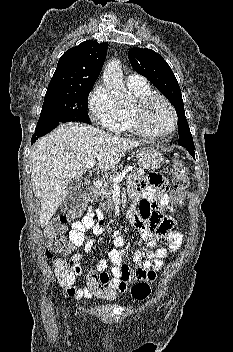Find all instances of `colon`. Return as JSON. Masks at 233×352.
I'll list each match as a JSON object with an SVG mask.
<instances>
[{
  "instance_id": "1",
  "label": "colon",
  "mask_w": 233,
  "mask_h": 352,
  "mask_svg": "<svg viewBox=\"0 0 233 352\" xmlns=\"http://www.w3.org/2000/svg\"><path fill=\"white\" fill-rule=\"evenodd\" d=\"M173 190L170 196V207L181 206L185 199V192L190 180L187 168L182 159L173 157L171 161ZM92 199L90 193L85 194L81 203L72 207L66 215L60 216L57 221L51 222L45 229L48 241L47 257L53 259L55 275L58 280H65L72 274V266L63 258L54 257V254L67 255L73 250L72 244L64 236L65 224L80 217L85 210V203ZM157 279L156 271H149L144 281L137 282L131 288V295L136 300H144L151 293V286ZM108 276L96 270H90L86 275V287L93 297L113 300L118 297L119 289L107 284Z\"/></svg>"
}]
</instances>
